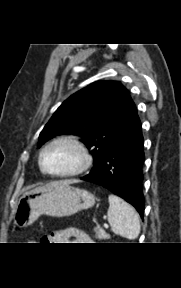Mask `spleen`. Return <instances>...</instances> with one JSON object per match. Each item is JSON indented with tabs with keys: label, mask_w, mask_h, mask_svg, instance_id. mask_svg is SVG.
I'll return each mask as SVG.
<instances>
[{
	"label": "spleen",
	"mask_w": 181,
	"mask_h": 288,
	"mask_svg": "<svg viewBox=\"0 0 181 288\" xmlns=\"http://www.w3.org/2000/svg\"><path fill=\"white\" fill-rule=\"evenodd\" d=\"M108 200L107 216L111 230L127 239H136L140 233V221L135 209L113 194L109 195Z\"/></svg>",
	"instance_id": "3e777b00"
}]
</instances>
